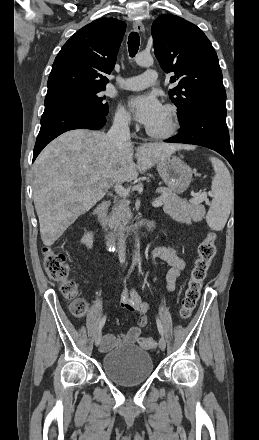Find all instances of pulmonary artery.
Wrapping results in <instances>:
<instances>
[{"mask_svg":"<svg viewBox=\"0 0 259 440\" xmlns=\"http://www.w3.org/2000/svg\"><path fill=\"white\" fill-rule=\"evenodd\" d=\"M158 82V73L153 69H147L141 75L124 78L121 88L126 90H142Z\"/></svg>","mask_w":259,"mask_h":440,"instance_id":"e3ab8cb5","label":"pulmonary artery"}]
</instances>
